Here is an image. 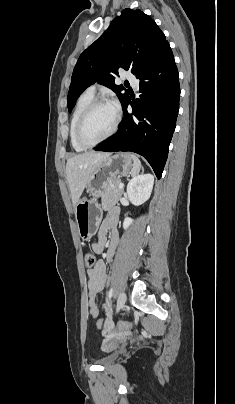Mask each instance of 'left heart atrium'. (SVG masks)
Here are the masks:
<instances>
[{"mask_svg": "<svg viewBox=\"0 0 235 404\" xmlns=\"http://www.w3.org/2000/svg\"><path fill=\"white\" fill-rule=\"evenodd\" d=\"M110 105L114 109V111H117L119 109L118 103L115 100H112Z\"/></svg>", "mask_w": 235, "mask_h": 404, "instance_id": "1", "label": "left heart atrium"}]
</instances>
